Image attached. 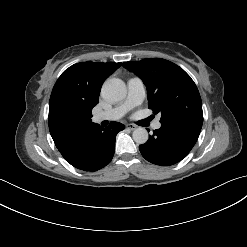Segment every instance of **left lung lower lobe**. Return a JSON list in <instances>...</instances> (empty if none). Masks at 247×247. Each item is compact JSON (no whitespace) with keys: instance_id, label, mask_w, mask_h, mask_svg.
Segmentation results:
<instances>
[{"instance_id":"left-lung-lower-lobe-1","label":"left lung lower lobe","mask_w":247,"mask_h":247,"mask_svg":"<svg viewBox=\"0 0 247 247\" xmlns=\"http://www.w3.org/2000/svg\"><path fill=\"white\" fill-rule=\"evenodd\" d=\"M200 130L182 124H161L148 141L139 146V150L147 161L170 166L186 157L195 145Z\"/></svg>"}]
</instances>
